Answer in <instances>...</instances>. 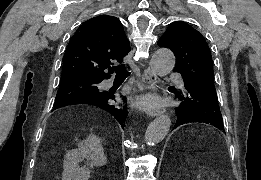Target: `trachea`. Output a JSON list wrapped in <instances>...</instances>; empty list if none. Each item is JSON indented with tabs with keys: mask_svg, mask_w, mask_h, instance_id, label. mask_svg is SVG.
<instances>
[{
	"mask_svg": "<svg viewBox=\"0 0 261 180\" xmlns=\"http://www.w3.org/2000/svg\"><path fill=\"white\" fill-rule=\"evenodd\" d=\"M114 70L116 73L115 79H126L130 75L124 64L115 67Z\"/></svg>",
	"mask_w": 261,
	"mask_h": 180,
	"instance_id": "3493384b",
	"label": "trachea"
}]
</instances>
